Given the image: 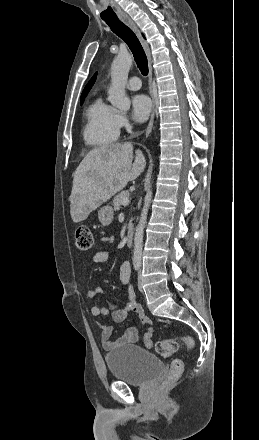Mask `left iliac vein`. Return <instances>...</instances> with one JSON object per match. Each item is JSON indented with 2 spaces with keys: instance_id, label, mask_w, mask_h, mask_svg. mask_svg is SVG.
<instances>
[{
  "instance_id": "1",
  "label": "left iliac vein",
  "mask_w": 259,
  "mask_h": 440,
  "mask_svg": "<svg viewBox=\"0 0 259 440\" xmlns=\"http://www.w3.org/2000/svg\"><path fill=\"white\" fill-rule=\"evenodd\" d=\"M138 288L141 292H143V283H142V274L141 271L138 273Z\"/></svg>"
}]
</instances>
